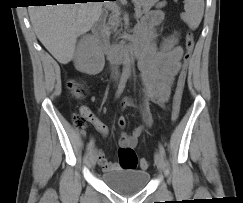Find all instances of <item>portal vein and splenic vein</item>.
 <instances>
[{
	"mask_svg": "<svg viewBox=\"0 0 243 203\" xmlns=\"http://www.w3.org/2000/svg\"><path fill=\"white\" fill-rule=\"evenodd\" d=\"M110 9L113 10V11H116V12L119 11V7H118L117 5H112V6L110 7ZM140 16H141V15L138 14V13L136 12V17H140Z\"/></svg>",
	"mask_w": 243,
	"mask_h": 203,
	"instance_id": "18ae733b",
	"label": "portal vein and splenic vein"
}]
</instances>
